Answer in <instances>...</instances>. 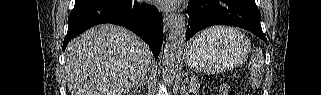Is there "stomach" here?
<instances>
[{"label":"stomach","instance_id":"stomach-1","mask_svg":"<svg viewBox=\"0 0 321 95\" xmlns=\"http://www.w3.org/2000/svg\"><path fill=\"white\" fill-rule=\"evenodd\" d=\"M250 40L237 30L219 37L196 36L189 45L186 63L195 71L219 73L244 61Z\"/></svg>","mask_w":321,"mask_h":95}]
</instances>
